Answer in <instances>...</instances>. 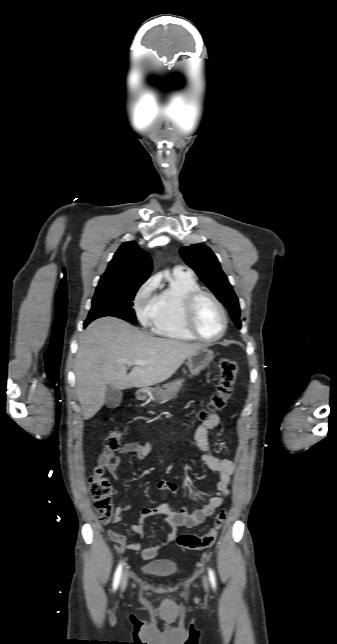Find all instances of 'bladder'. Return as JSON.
Segmentation results:
<instances>
[{
  "mask_svg": "<svg viewBox=\"0 0 337 644\" xmlns=\"http://www.w3.org/2000/svg\"><path fill=\"white\" fill-rule=\"evenodd\" d=\"M141 570L151 577L170 578L178 573V565L171 559L159 558L144 563Z\"/></svg>",
  "mask_w": 337,
  "mask_h": 644,
  "instance_id": "1",
  "label": "bladder"
}]
</instances>
